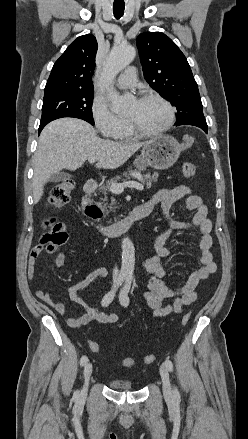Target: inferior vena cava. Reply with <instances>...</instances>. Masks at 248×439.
Segmentation results:
<instances>
[{
	"label": "inferior vena cava",
	"mask_w": 248,
	"mask_h": 439,
	"mask_svg": "<svg viewBox=\"0 0 248 439\" xmlns=\"http://www.w3.org/2000/svg\"><path fill=\"white\" fill-rule=\"evenodd\" d=\"M118 274H119L118 268L115 267L113 270V281H115L117 279Z\"/></svg>",
	"instance_id": "obj_1"
}]
</instances>
